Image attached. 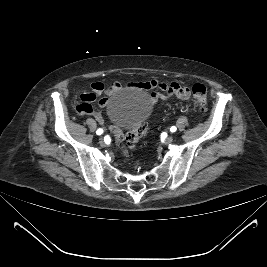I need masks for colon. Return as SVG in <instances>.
<instances>
[{
  "mask_svg": "<svg viewBox=\"0 0 267 267\" xmlns=\"http://www.w3.org/2000/svg\"><path fill=\"white\" fill-rule=\"evenodd\" d=\"M192 95L195 108L198 111H204L207 107V90L203 84H195L192 87ZM111 132L115 142L126 153V149H133L138 144L139 140L144 136L146 127L144 124H139L130 128L126 133L116 126H111Z\"/></svg>",
  "mask_w": 267,
  "mask_h": 267,
  "instance_id": "1",
  "label": "colon"
}]
</instances>
